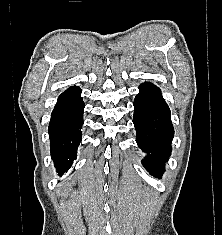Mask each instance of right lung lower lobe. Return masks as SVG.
<instances>
[{"label":"right lung lower lobe","instance_id":"98d812e1","mask_svg":"<svg viewBox=\"0 0 222 235\" xmlns=\"http://www.w3.org/2000/svg\"><path fill=\"white\" fill-rule=\"evenodd\" d=\"M85 104L79 87H70L63 92L54 107L49 124L51 157L57 172L62 175L76 159L80 144Z\"/></svg>","mask_w":222,"mask_h":235}]
</instances>
